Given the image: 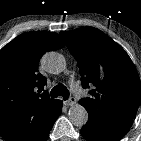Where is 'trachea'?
Here are the masks:
<instances>
[{
    "instance_id": "3493384b",
    "label": "trachea",
    "mask_w": 141,
    "mask_h": 141,
    "mask_svg": "<svg viewBox=\"0 0 141 141\" xmlns=\"http://www.w3.org/2000/svg\"><path fill=\"white\" fill-rule=\"evenodd\" d=\"M50 95L51 97L62 96L63 100H67L69 98L70 93L63 84H58L51 90Z\"/></svg>"
}]
</instances>
